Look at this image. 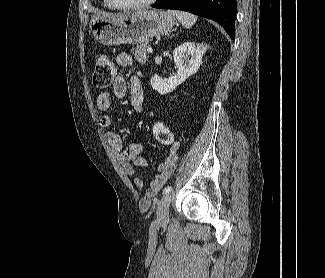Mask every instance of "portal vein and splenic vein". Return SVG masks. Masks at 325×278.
Masks as SVG:
<instances>
[{"instance_id": "18ae733b", "label": "portal vein and splenic vein", "mask_w": 325, "mask_h": 278, "mask_svg": "<svg viewBox=\"0 0 325 278\" xmlns=\"http://www.w3.org/2000/svg\"><path fill=\"white\" fill-rule=\"evenodd\" d=\"M147 52H148V53H152V52H153L152 47H148V48H147Z\"/></svg>"}]
</instances>
